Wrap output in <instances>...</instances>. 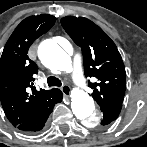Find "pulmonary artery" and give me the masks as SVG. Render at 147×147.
Returning a JSON list of instances; mask_svg holds the SVG:
<instances>
[{"instance_id": "obj_1", "label": "pulmonary artery", "mask_w": 147, "mask_h": 147, "mask_svg": "<svg viewBox=\"0 0 147 147\" xmlns=\"http://www.w3.org/2000/svg\"><path fill=\"white\" fill-rule=\"evenodd\" d=\"M72 75L76 84L78 85L83 84L82 65H81V60L78 56H75L74 58Z\"/></svg>"}]
</instances>
